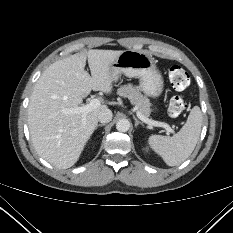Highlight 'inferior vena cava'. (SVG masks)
I'll list each match as a JSON object with an SVG mask.
<instances>
[{
	"label": "inferior vena cava",
	"mask_w": 233,
	"mask_h": 233,
	"mask_svg": "<svg viewBox=\"0 0 233 233\" xmlns=\"http://www.w3.org/2000/svg\"><path fill=\"white\" fill-rule=\"evenodd\" d=\"M112 112L109 109H103L98 114V121L101 123H108L112 120Z\"/></svg>",
	"instance_id": "obj_1"
}]
</instances>
